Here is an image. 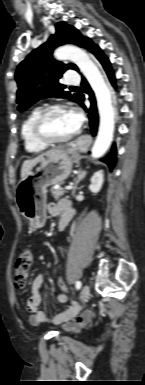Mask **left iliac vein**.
<instances>
[{
  "mask_svg": "<svg viewBox=\"0 0 145 385\" xmlns=\"http://www.w3.org/2000/svg\"><path fill=\"white\" fill-rule=\"evenodd\" d=\"M89 293H90V288L88 285H84L81 289V292H80V295H79V301L80 302H84L88 296H89Z\"/></svg>",
  "mask_w": 145,
  "mask_h": 385,
  "instance_id": "obj_1",
  "label": "left iliac vein"
}]
</instances>
